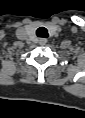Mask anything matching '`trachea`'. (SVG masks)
Returning a JSON list of instances; mask_svg holds the SVG:
<instances>
[{
    "instance_id": "3493384b",
    "label": "trachea",
    "mask_w": 85,
    "mask_h": 118,
    "mask_svg": "<svg viewBox=\"0 0 85 118\" xmlns=\"http://www.w3.org/2000/svg\"><path fill=\"white\" fill-rule=\"evenodd\" d=\"M36 35L41 38H47L48 37V30L45 27H39L36 30Z\"/></svg>"
}]
</instances>
